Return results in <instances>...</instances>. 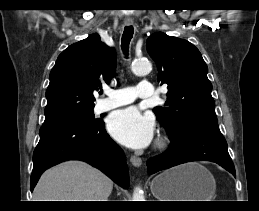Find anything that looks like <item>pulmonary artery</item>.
Returning a JSON list of instances; mask_svg holds the SVG:
<instances>
[{"label":"pulmonary artery","mask_w":259,"mask_h":211,"mask_svg":"<svg viewBox=\"0 0 259 211\" xmlns=\"http://www.w3.org/2000/svg\"><path fill=\"white\" fill-rule=\"evenodd\" d=\"M107 97L101 99L97 105V112H105L134 102L137 98H152L154 89L150 82L141 81L137 87H125L106 90Z\"/></svg>","instance_id":"pulmonary-artery-1"}]
</instances>
